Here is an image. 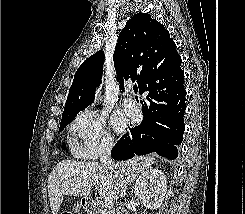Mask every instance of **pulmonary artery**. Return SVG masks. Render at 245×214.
Masks as SVG:
<instances>
[{
	"label": "pulmonary artery",
	"mask_w": 245,
	"mask_h": 214,
	"mask_svg": "<svg viewBox=\"0 0 245 214\" xmlns=\"http://www.w3.org/2000/svg\"><path fill=\"white\" fill-rule=\"evenodd\" d=\"M123 105L130 116H135L138 114L139 109L131 98L124 99Z\"/></svg>",
	"instance_id": "e3ab8cb5"
}]
</instances>
